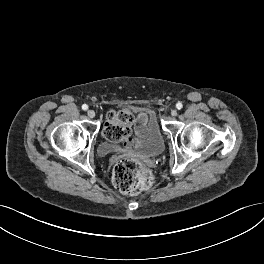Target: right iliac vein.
Returning <instances> with one entry per match:
<instances>
[{
  "instance_id": "1",
  "label": "right iliac vein",
  "mask_w": 264,
  "mask_h": 264,
  "mask_svg": "<svg viewBox=\"0 0 264 264\" xmlns=\"http://www.w3.org/2000/svg\"><path fill=\"white\" fill-rule=\"evenodd\" d=\"M87 115L89 118H94L95 117V111L94 110H88Z\"/></svg>"
}]
</instances>
